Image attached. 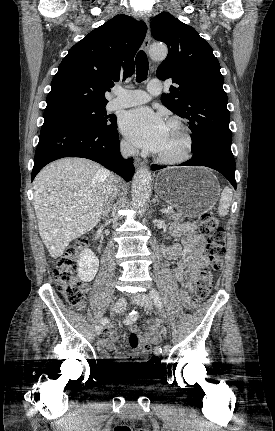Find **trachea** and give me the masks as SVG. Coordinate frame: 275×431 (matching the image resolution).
<instances>
[{"instance_id": "1", "label": "trachea", "mask_w": 275, "mask_h": 431, "mask_svg": "<svg viewBox=\"0 0 275 431\" xmlns=\"http://www.w3.org/2000/svg\"><path fill=\"white\" fill-rule=\"evenodd\" d=\"M136 63V81L142 82L147 79L148 75V58L143 50H140L135 59Z\"/></svg>"}]
</instances>
